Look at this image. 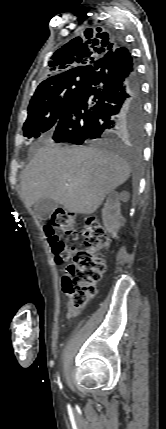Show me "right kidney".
Wrapping results in <instances>:
<instances>
[{"label": "right kidney", "instance_id": "1", "mask_svg": "<svg viewBox=\"0 0 166 429\" xmlns=\"http://www.w3.org/2000/svg\"><path fill=\"white\" fill-rule=\"evenodd\" d=\"M129 193L124 191L118 193L111 191L106 199L104 208L102 209V220L106 230L117 238V232L121 226L125 224V219L121 215L120 201L127 202Z\"/></svg>", "mask_w": 166, "mask_h": 429}]
</instances>
